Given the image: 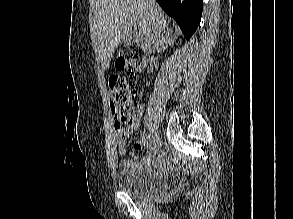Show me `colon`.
<instances>
[{
	"mask_svg": "<svg viewBox=\"0 0 293 219\" xmlns=\"http://www.w3.org/2000/svg\"><path fill=\"white\" fill-rule=\"evenodd\" d=\"M116 71L108 80L110 92L117 105L119 122L130 125L135 119L137 88L133 82L140 69V59L135 52L121 53L117 56Z\"/></svg>",
	"mask_w": 293,
	"mask_h": 219,
	"instance_id": "5ec220e1",
	"label": "colon"
}]
</instances>
